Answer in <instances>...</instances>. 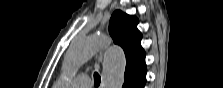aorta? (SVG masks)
I'll use <instances>...</instances> for the list:
<instances>
[{
  "mask_svg": "<svg viewBox=\"0 0 223 88\" xmlns=\"http://www.w3.org/2000/svg\"><path fill=\"white\" fill-rule=\"evenodd\" d=\"M102 47H106L103 61L102 86L103 88H122L126 68L125 54L120 47L110 45L106 38L97 34L79 38L72 42L64 58V76L60 86L67 87L70 78Z\"/></svg>",
  "mask_w": 223,
  "mask_h": 88,
  "instance_id": "762f6f07",
  "label": "aorta"
}]
</instances>
